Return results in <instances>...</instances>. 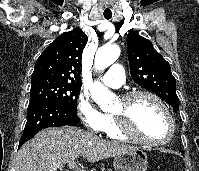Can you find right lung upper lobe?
<instances>
[{"instance_id":"cb5924a9","label":"right lung upper lobe","mask_w":199,"mask_h":171,"mask_svg":"<svg viewBox=\"0 0 199 171\" xmlns=\"http://www.w3.org/2000/svg\"><path fill=\"white\" fill-rule=\"evenodd\" d=\"M86 42L87 36L81 29L61 34L37 59L32 79L49 78L81 85V56Z\"/></svg>"}]
</instances>
